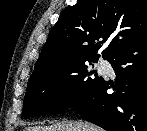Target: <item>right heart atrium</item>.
<instances>
[{
  "label": "right heart atrium",
  "instance_id": "right-heart-atrium-1",
  "mask_svg": "<svg viewBox=\"0 0 147 131\" xmlns=\"http://www.w3.org/2000/svg\"><path fill=\"white\" fill-rule=\"evenodd\" d=\"M70 88V82L67 78L60 79L56 83V90L60 94L66 93Z\"/></svg>",
  "mask_w": 147,
  "mask_h": 131
}]
</instances>
